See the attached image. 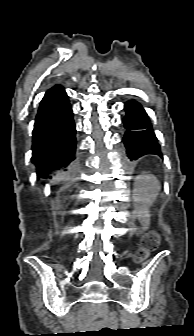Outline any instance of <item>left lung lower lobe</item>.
<instances>
[{"label":"left lung lower lobe","instance_id":"0a47b994","mask_svg":"<svg viewBox=\"0 0 194 336\" xmlns=\"http://www.w3.org/2000/svg\"><path fill=\"white\" fill-rule=\"evenodd\" d=\"M125 111L123 123L127 131L123 141L128 158L133 161L146 154L162 157L157 138L143 107L132 100L125 104Z\"/></svg>","mask_w":194,"mask_h":336}]
</instances>
